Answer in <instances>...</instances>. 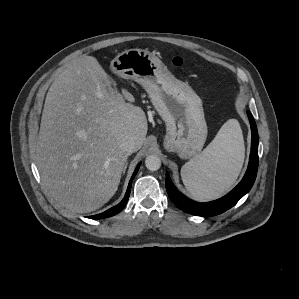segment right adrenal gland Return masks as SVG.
Segmentation results:
<instances>
[{
    "label": "right adrenal gland",
    "mask_w": 299,
    "mask_h": 299,
    "mask_svg": "<svg viewBox=\"0 0 299 299\" xmlns=\"http://www.w3.org/2000/svg\"><path fill=\"white\" fill-rule=\"evenodd\" d=\"M126 168H127V162H126L125 165H124V168H123V174H125Z\"/></svg>",
    "instance_id": "right-adrenal-gland-1"
}]
</instances>
